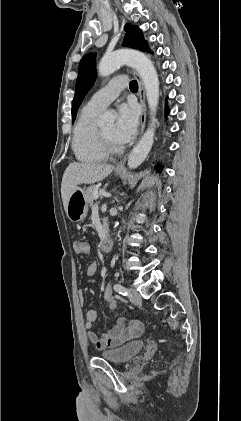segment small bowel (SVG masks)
Segmentation results:
<instances>
[{"label": "small bowel", "mask_w": 241, "mask_h": 421, "mask_svg": "<svg viewBox=\"0 0 241 421\" xmlns=\"http://www.w3.org/2000/svg\"><path fill=\"white\" fill-rule=\"evenodd\" d=\"M98 265L96 262H91L87 268V274L92 276L96 273ZM79 301L84 302V293L82 290L78 292ZM97 319V312L94 309H89L85 315L84 326L88 330L87 336L89 341L98 349L114 348L137 338L143 332L144 325L139 320L127 321L120 318L115 326L102 332L98 335L92 331L94 322Z\"/></svg>", "instance_id": "1"}]
</instances>
